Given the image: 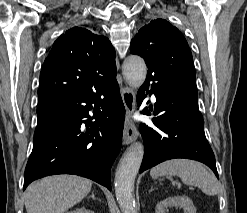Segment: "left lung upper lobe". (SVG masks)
<instances>
[{
	"label": "left lung upper lobe",
	"instance_id": "1",
	"mask_svg": "<svg viewBox=\"0 0 247 213\" xmlns=\"http://www.w3.org/2000/svg\"><path fill=\"white\" fill-rule=\"evenodd\" d=\"M130 52L140 55L148 67L146 80L161 86L183 85L197 95L195 68L187 41L163 19L152 20L131 40Z\"/></svg>",
	"mask_w": 247,
	"mask_h": 213
}]
</instances>
